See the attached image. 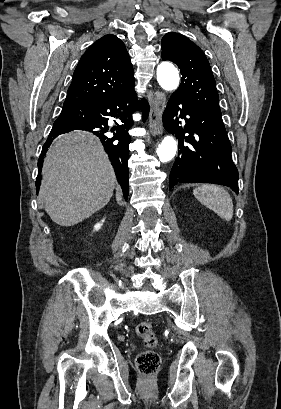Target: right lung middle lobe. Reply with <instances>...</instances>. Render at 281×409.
Returning a JSON list of instances; mask_svg holds the SVG:
<instances>
[{
	"label": "right lung middle lobe",
	"instance_id": "obj_1",
	"mask_svg": "<svg viewBox=\"0 0 281 409\" xmlns=\"http://www.w3.org/2000/svg\"><path fill=\"white\" fill-rule=\"evenodd\" d=\"M81 118L76 117V116H68V117H62L60 116L54 124H75L79 123Z\"/></svg>",
	"mask_w": 281,
	"mask_h": 409
}]
</instances>
